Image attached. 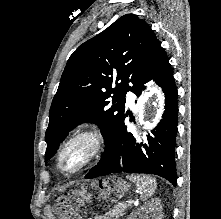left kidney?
Wrapping results in <instances>:
<instances>
[{"instance_id": "1", "label": "left kidney", "mask_w": 221, "mask_h": 219, "mask_svg": "<svg viewBox=\"0 0 221 219\" xmlns=\"http://www.w3.org/2000/svg\"><path fill=\"white\" fill-rule=\"evenodd\" d=\"M163 219L160 200L153 199L139 210L133 212L128 219Z\"/></svg>"}]
</instances>
